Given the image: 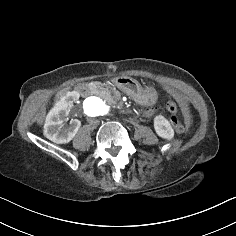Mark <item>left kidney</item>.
<instances>
[{"instance_id":"obj_1","label":"left kidney","mask_w":236,"mask_h":236,"mask_svg":"<svg viewBox=\"0 0 236 236\" xmlns=\"http://www.w3.org/2000/svg\"><path fill=\"white\" fill-rule=\"evenodd\" d=\"M153 127L156 135L163 140L172 141L175 137L171 122L163 115H155Z\"/></svg>"}]
</instances>
